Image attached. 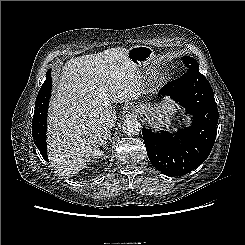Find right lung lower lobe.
<instances>
[{
	"label": "right lung lower lobe",
	"mask_w": 245,
	"mask_h": 245,
	"mask_svg": "<svg viewBox=\"0 0 245 245\" xmlns=\"http://www.w3.org/2000/svg\"><path fill=\"white\" fill-rule=\"evenodd\" d=\"M47 113L40 115L34 114L32 120V135L34 142L39 149L42 157L47 161L46 147V129H47Z\"/></svg>",
	"instance_id": "obj_1"
}]
</instances>
